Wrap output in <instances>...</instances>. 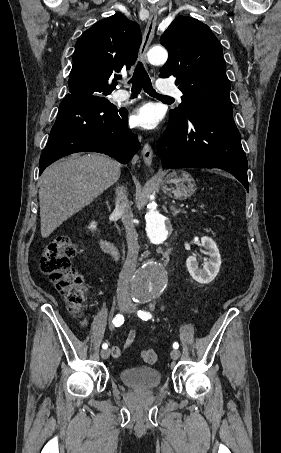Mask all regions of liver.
I'll return each mask as SVG.
<instances>
[{
	"mask_svg": "<svg viewBox=\"0 0 281 453\" xmlns=\"http://www.w3.org/2000/svg\"><path fill=\"white\" fill-rule=\"evenodd\" d=\"M120 176V164L106 154L56 160L41 174V237L47 239L69 216L102 194Z\"/></svg>",
	"mask_w": 281,
	"mask_h": 453,
	"instance_id": "liver-1",
	"label": "liver"
}]
</instances>
